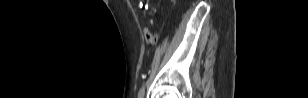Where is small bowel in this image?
I'll return each instance as SVG.
<instances>
[{
	"label": "small bowel",
	"mask_w": 308,
	"mask_h": 98,
	"mask_svg": "<svg viewBox=\"0 0 308 98\" xmlns=\"http://www.w3.org/2000/svg\"><path fill=\"white\" fill-rule=\"evenodd\" d=\"M148 33H151V32L149 31V29H148L147 27H145V28H144V34L146 35V34H148Z\"/></svg>",
	"instance_id": "1"
}]
</instances>
